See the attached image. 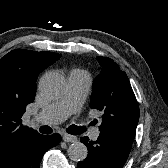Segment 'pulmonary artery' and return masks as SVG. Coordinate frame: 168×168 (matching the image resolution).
<instances>
[{
	"instance_id": "1",
	"label": "pulmonary artery",
	"mask_w": 168,
	"mask_h": 168,
	"mask_svg": "<svg viewBox=\"0 0 168 168\" xmlns=\"http://www.w3.org/2000/svg\"><path fill=\"white\" fill-rule=\"evenodd\" d=\"M91 85V76L82 70H72L68 76L67 90L62 98L42 109L36 120L44 124H57L76 113L86 100ZM100 131L96 127L91 138L96 140Z\"/></svg>"
}]
</instances>
